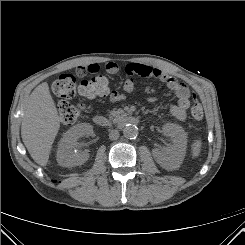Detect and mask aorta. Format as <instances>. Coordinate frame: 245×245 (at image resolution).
I'll return each mask as SVG.
<instances>
[{
	"label": "aorta",
	"instance_id": "762f6f07",
	"mask_svg": "<svg viewBox=\"0 0 245 245\" xmlns=\"http://www.w3.org/2000/svg\"><path fill=\"white\" fill-rule=\"evenodd\" d=\"M123 135L127 139H134L138 136V128L132 124H126L123 127Z\"/></svg>",
	"mask_w": 245,
	"mask_h": 245
}]
</instances>
